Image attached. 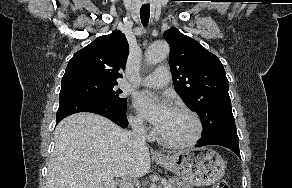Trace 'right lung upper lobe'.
<instances>
[{
	"label": "right lung upper lobe",
	"mask_w": 292,
	"mask_h": 188,
	"mask_svg": "<svg viewBox=\"0 0 292 188\" xmlns=\"http://www.w3.org/2000/svg\"><path fill=\"white\" fill-rule=\"evenodd\" d=\"M129 46L125 35L115 30L103 35L75 53L62 80L89 77L117 82L125 68Z\"/></svg>",
	"instance_id": "obj_1"
}]
</instances>
